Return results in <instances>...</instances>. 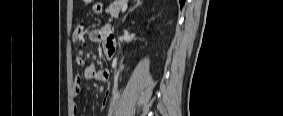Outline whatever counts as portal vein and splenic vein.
<instances>
[{
  "mask_svg": "<svg viewBox=\"0 0 283 116\" xmlns=\"http://www.w3.org/2000/svg\"><path fill=\"white\" fill-rule=\"evenodd\" d=\"M127 10V4H123L122 6V12H125Z\"/></svg>",
  "mask_w": 283,
  "mask_h": 116,
  "instance_id": "portal-vein-and-splenic-vein-1",
  "label": "portal vein and splenic vein"
}]
</instances>
